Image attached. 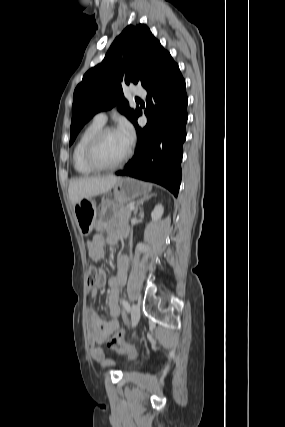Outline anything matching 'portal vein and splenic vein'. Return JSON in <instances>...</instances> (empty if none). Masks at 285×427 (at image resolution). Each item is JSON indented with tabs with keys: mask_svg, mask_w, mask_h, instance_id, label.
I'll list each match as a JSON object with an SVG mask.
<instances>
[{
	"mask_svg": "<svg viewBox=\"0 0 285 427\" xmlns=\"http://www.w3.org/2000/svg\"><path fill=\"white\" fill-rule=\"evenodd\" d=\"M128 208L132 211V210H134V206H132V205H130V206H128Z\"/></svg>",
	"mask_w": 285,
	"mask_h": 427,
	"instance_id": "obj_1",
	"label": "portal vein and splenic vein"
}]
</instances>
